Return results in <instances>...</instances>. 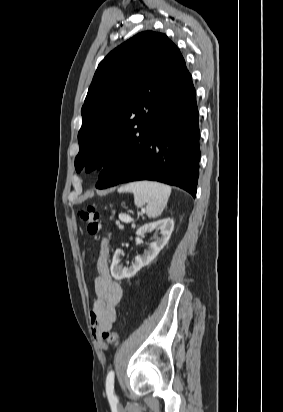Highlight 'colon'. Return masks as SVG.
I'll use <instances>...</instances> for the list:
<instances>
[{
    "mask_svg": "<svg viewBox=\"0 0 283 412\" xmlns=\"http://www.w3.org/2000/svg\"><path fill=\"white\" fill-rule=\"evenodd\" d=\"M80 221L85 225L86 232L97 237L101 230L100 212L94 206H87L78 211ZM101 339L105 345L116 346L119 343V334L113 330L102 332Z\"/></svg>",
    "mask_w": 283,
    "mask_h": 412,
    "instance_id": "colon-1",
    "label": "colon"
}]
</instances>
